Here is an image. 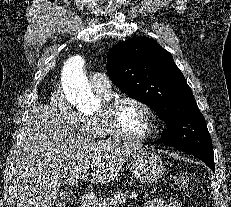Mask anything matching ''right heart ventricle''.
<instances>
[{
    "label": "right heart ventricle",
    "mask_w": 231,
    "mask_h": 207,
    "mask_svg": "<svg viewBox=\"0 0 231 207\" xmlns=\"http://www.w3.org/2000/svg\"><path fill=\"white\" fill-rule=\"evenodd\" d=\"M104 101H107L111 98L110 93L95 91ZM81 135L85 138L93 139V140H106L110 139L111 136L108 134L106 129L104 128L102 119L99 115L94 116H82L81 127H80Z\"/></svg>",
    "instance_id": "right-heart-ventricle-1"
}]
</instances>
